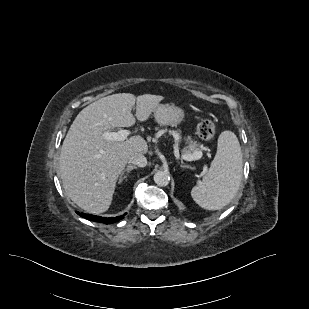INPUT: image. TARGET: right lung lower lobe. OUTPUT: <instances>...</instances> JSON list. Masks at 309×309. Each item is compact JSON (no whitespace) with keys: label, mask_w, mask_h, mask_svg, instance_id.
I'll use <instances>...</instances> for the list:
<instances>
[{"label":"right lung lower lobe","mask_w":309,"mask_h":309,"mask_svg":"<svg viewBox=\"0 0 309 309\" xmlns=\"http://www.w3.org/2000/svg\"><path fill=\"white\" fill-rule=\"evenodd\" d=\"M78 215H80L81 217L91 220V221H95V222H100V223H104V224H112L114 222H117L119 220H121L126 214L122 215V216H118L115 218H105V217H100V216H95V215H91V214H84V213H80L77 212Z\"/></svg>","instance_id":"right-lung-lower-lobe-1"}]
</instances>
